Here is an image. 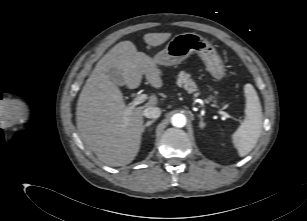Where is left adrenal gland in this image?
<instances>
[{
    "mask_svg": "<svg viewBox=\"0 0 307 221\" xmlns=\"http://www.w3.org/2000/svg\"><path fill=\"white\" fill-rule=\"evenodd\" d=\"M199 118H200L199 127L204 128L205 127L204 118L201 115H199Z\"/></svg>",
    "mask_w": 307,
    "mask_h": 221,
    "instance_id": "a2214340",
    "label": "left adrenal gland"
}]
</instances>
